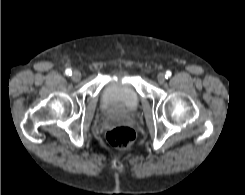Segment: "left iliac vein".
Returning <instances> with one entry per match:
<instances>
[{
  "label": "left iliac vein",
  "instance_id": "1",
  "mask_svg": "<svg viewBox=\"0 0 245 195\" xmlns=\"http://www.w3.org/2000/svg\"><path fill=\"white\" fill-rule=\"evenodd\" d=\"M165 79H166V77H165V74H164V73H159V74L157 75V81H158L160 84L164 83Z\"/></svg>",
  "mask_w": 245,
  "mask_h": 195
}]
</instances>
